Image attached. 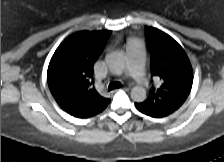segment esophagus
Here are the masks:
<instances>
[{"mask_svg":"<svg viewBox=\"0 0 224 162\" xmlns=\"http://www.w3.org/2000/svg\"><path fill=\"white\" fill-rule=\"evenodd\" d=\"M123 90L128 91V90H129V88L124 87V88H123ZM114 92H116V90H115Z\"/></svg>","mask_w":224,"mask_h":162,"instance_id":"1","label":"esophagus"}]
</instances>
